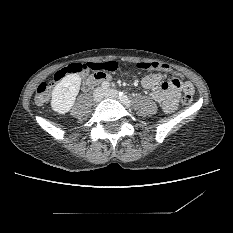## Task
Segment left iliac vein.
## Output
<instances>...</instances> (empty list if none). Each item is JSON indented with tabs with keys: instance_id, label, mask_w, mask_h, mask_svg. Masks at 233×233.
<instances>
[{
	"instance_id": "4c4485c4",
	"label": "left iliac vein",
	"mask_w": 233,
	"mask_h": 233,
	"mask_svg": "<svg viewBox=\"0 0 233 233\" xmlns=\"http://www.w3.org/2000/svg\"><path fill=\"white\" fill-rule=\"evenodd\" d=\"M104 95L107 98L117 99L119 94H118L117 90L109 89V90L105 91Z\"/></svg>"
}]
</instances>
